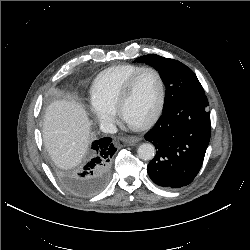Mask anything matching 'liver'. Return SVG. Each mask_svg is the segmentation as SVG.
Here are the masks:
<instances>
[{
  "mask_svg": "<svg viewBox=\"0 0 250 250\" xmlns=\"http://www.w3.org/2000/svg\"><path fill=\"white\" fill-rule=\"evenodd\" d=\"M90 125L86 111L75 100H57L48 106L43 140L57 167L71 169L81 162L89 144Z\"/></svg>",
  "mask_w": 250,
  "mask_h": 250,
  "instance_id": "liver-1",
  "label": "liver"
}]
</instances>
